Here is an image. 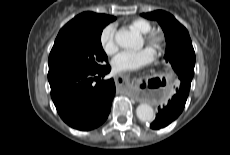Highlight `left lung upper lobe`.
Wrapping results in <instances>:
<instances>
[{"mask_svg":"<svg viewBox=\"0 0 230 155\" xmlns=\"http://www.w3.org/2000/svg\"><path fill=\"white\" fill-rule=\"evenodd\" d=\"M143 17L156 20L166 38L164 58L169 62L179 79L192 80L195 66V52L187 29L173 15L163 10L143 13Z\"/></svg>","mask_w":230,"mask_h":155,"instance_id":"obj_1","label":"left lung upper lobe"}]
</instances>
